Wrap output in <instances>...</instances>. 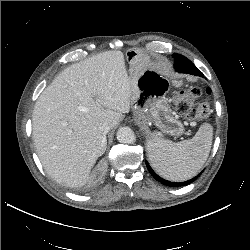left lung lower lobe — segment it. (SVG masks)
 I'll return each instance as SVG.
<instances>
[{
	"label": "left lung lower lobe",
	"instance_id": "left-lung-lower-lobe-1",
	"mask_svg": "<svg viewBox=\"0 0 250 250\" xmlns=\"http://www.w3.org/2000/svg\"><path fill=\"white\" fill-rule=\"evenodd\" d=\"M174 57V67L176 69V71L181 72V73H189L192 75H197V76H203L202 72L199 71L196 66L190 61L188 60L186 57L180 55V54H173ZM146 166L148 171L150 172V174L159 182H161L162 184L166 185V186H170V187H178V186H185L188 185L190 183H192L193 181H195L200 175L198 174L196 177L185 181V182H171V181H167L163 178H161L160 176H158L153 169L150 167L149 163L146 161Z\"/></svg>",
	"mask_w": 250,
	"mask_h": 250
}]
</instances>
